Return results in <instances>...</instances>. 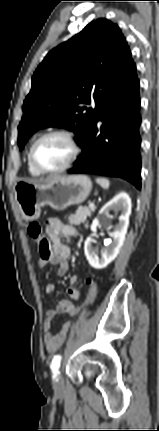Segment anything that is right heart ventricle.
Returning <instances> with one entry per match:
<instances>
[{
    "label": "right heart ventricle",
    "instance_id": "right-heart-ventricle-1",
    "mask_svg": "<svg viewBox=\"0 0 159 431\" xmlns=\"http://www.w3.org/2000/svg\"><path fill=\"white\" fill-rule=\"evenodd\" d=\"M27 167H28V171H29V173L32 175V176H35V177H37V176H40L41 175V173H39L32 165H31V163H30V160H29V156H27Z\"/></svg>",
    "mask_w": 159,
    "mask_h": 431
}]
</instances>
